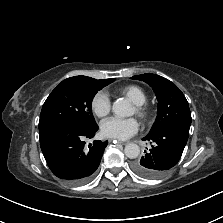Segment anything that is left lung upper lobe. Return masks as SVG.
Instances as JSON below:
<instances>
[{
    "instance_id": "left-lung-upper-lobe-1",
    "label": "left lung upper lobe",
    "mask_w": 223,
    "mask_h": 223,
    "mask_svg": "<svg viewBox=\"0 0 223 223\" xmlns=\"http://www.w3.org/2000/svg\"><path fill=\"white\" fill-rule=\"evenodd\" d=\"M132 79L148 83L158 100L157 118L149 134L173 126L189 131L191 125L189 105L184 94L174 83L152 73L136 75Z\"/></svg>"
}]
</instances>
